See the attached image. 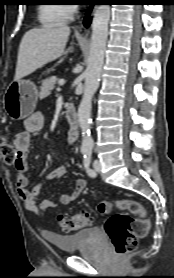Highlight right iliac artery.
Returning a JSON list of instances; mask_svg holds the SVG:
<instances>
[{"label":"right iliac artery","mask_w":174,"mask_h":278,"mask_svg":"<svg viewBox=\"0 0 174 278\" xmlns=\"http://www.w3.org/2000/svg\"><path fill=\"white\" fill-rule=\"evenodd\" d=\"M86 152H87V150H85V149L82 150V153H83V154H85Z\"/></svg>","instance_id":"82829eb1"}]
</instances>
